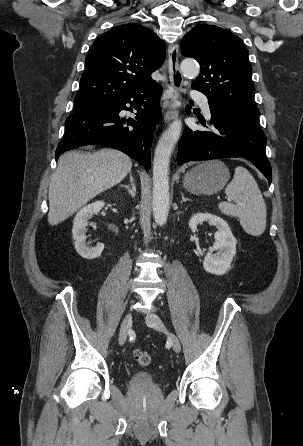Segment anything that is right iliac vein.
I'll use <instances>...</instances> for the list:
<instances>
[{
	"mask_svg": "<svg viewBox=\"0 0 303 446\" xmlns=\"http://www.w3.org/2000/svg\"><path fill=\"white\" fill-rule=\"evenodd\" d=\"M131 326H132V314L128 313L125 315V317L123 318V321L121 323L120 332H119V344L120 345H123L126 342L128 333L131 329Z\"/></svg>",
	"mask_w": 303,
	"mask_h": 446,
	"instance_id": "1",
	"label": "right iliac vein"
}]
</instances>
